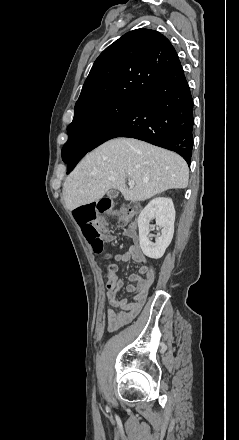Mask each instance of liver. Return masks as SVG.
Wrapping results in <instances>:
<instances>
[{"instance_id": "1", "label": "liver", "mask_w": 239, "mask_h": 440, "mask_svg": "<svg viewBox=\"0 0 239 440\" xmlns=\"http://www.w3.org/2000/svg\"><path fill=\"white\" fill-rule=\"evenodd\" d=\"M126 180L135 182L128 190ZM188 166L178 154L133 138H115L87 154L63 184L68 210L97 202L108 190L142 202L170 188H187Z\"/></svg>"}]
</instances>
